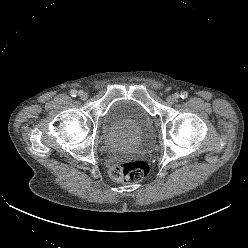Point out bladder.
<instances>
[{
  "label": "bladder",
  "mask_w": 248,
  "mask_h": 248,
  "mask_svg": "<svg viewBox=\"0 0 248 248\" xmlns=\"http://www.w3.org/2000/svg\"><path fill=\"white\" fill-rule=\"evenodd\" d=\"M101 132L113 151L146 152L154 141L151 116L131 100H117L109 106L102 120Z\"/></svg>",
  "instance_id": "31cf9c89"
}]
</instances>
